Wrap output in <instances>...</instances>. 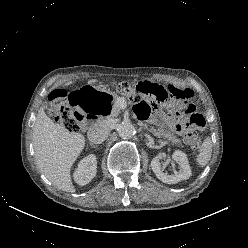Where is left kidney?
Listing matches in <instances>:
<instances>
[{
    "label": "left kidney",
    "instance_id": "left-kidney-1",
    "mask_svg": "<svg viewBox=\"0 0 248 248\" xmlns=\"http://www.w3.org/2000/svg\"><path fill=\"white\" fill-rule=\"evenodd\" d=\"M165 158L166 154L160 153L151 161V168L153 172L162 182L166 184H176L181 180L188 179L191 176V168L189 166L187 156L184 152L176 150L173 153L172 158L179 165L180 170L179 172H175L172 175H168L167 173L163 172L160 160Z\"/></svg>",
    "mask_w": 248,
    "mask_h": 248
}]
</instances>
